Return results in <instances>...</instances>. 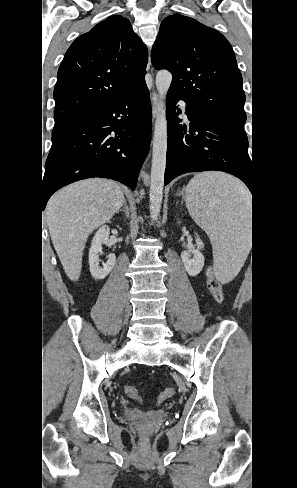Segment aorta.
<instances>
[{"instance_id":"1","label":"aorta","mask_w":297,"mask_h":488,"mask_svg":"<svg viewBox=\"0 0 297 488\" xmlns=\"http://www.w3.org/2000/svg\"><path fill=\"white\" fill-rule=\"evenodd\" d=\"M172 75L167 70H161L156 75V88L158 91V108L155 121L151 180L149 191L150 217L153 221L158 219L164 186V173L166 168L167 153V119H166V95L171 85Z\"/></svg>"}]
</instances>
